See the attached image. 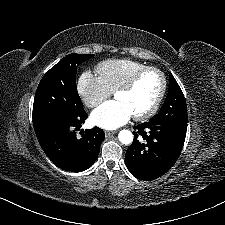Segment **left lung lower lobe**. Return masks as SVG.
<instances>
[{"instance_id": "left-lung-lower-lobe-1", "label": "left lung lower lobe", "mask_w": 225, "mask_h": 225, "mask_svg": "<svg viewBox=\"0 0 225 225\" xmlns=\"http://www.w3.org/2000/svg\"><path fill=\"white\" fill-rule=\"evenodd\" d=\"M135 138L127 149L125 161L130 173L150 181L166 173L179 158L184 145L187 125L154 123L135 126ZM138 135L142 140H138Z\"/></svg>"}]
</instances>
